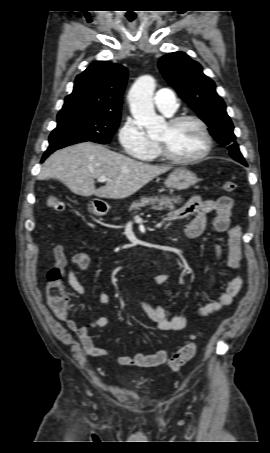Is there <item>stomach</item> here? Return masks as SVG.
<instances>
[{
  "label": "stomach",
  "mask_w": 270,
  "mask_h": 453,
  "mask_svg": "<svg viewBox=\"0 0 270 453\" xmlns=\"http://www.w3.org/2000/svg\"><path fill=\"white\" fill-rule=\"evenodd\" d=\"M198 182V178L194 172L186 168H176L165 180V186L171 190H186L194 186ZM99 200L92 202L94 214L101 216L107 212L108 206H100Z\"/></svg>",
  "instance_id": "obj_1"
}]
</instances>
